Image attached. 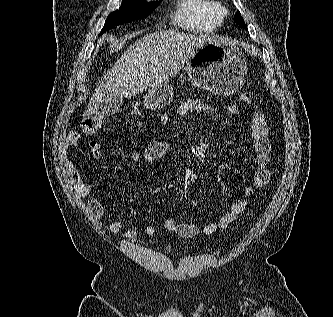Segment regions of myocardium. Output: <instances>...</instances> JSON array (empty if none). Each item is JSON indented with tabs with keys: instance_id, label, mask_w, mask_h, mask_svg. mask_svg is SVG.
Masks as SVG:
<instances>
[{
	"instance_id": "myocardium-1",
	"label": "myocardium",
	"mask_w": 333,
	"mask_h": 317,
	"mask_svg": "<svg viewBox=\"0 0 333 317\" xmlns=\"http://www.w3.org/2000/svg\"><path fill=\"white\" fill-rule=\"evenodd\" d=\"M221 13H222L223 15H226V14H227V9H226L225 7H223V6H221Z\"/></svg>"
}]
</instances>
